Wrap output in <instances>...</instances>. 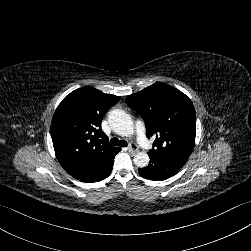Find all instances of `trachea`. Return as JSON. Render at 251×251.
Returning a JSON list of instances; mask_svg holds the SVG:
<instances>
[{
	"mask_svg": "<svg viewBox=\"0 0 251 251\" xmlns=\"http://www.w3.org/2000/svg\"><path fill=\"white\" fill-rule=\"evenodd\" d=\"M111 146H120V147H126L128 143L125 140H118L116 137L112 138L110 140Z\"/></svg>",
	"mask_w": 251,
	"mask_h": 251,
	"instance_id": "3493384b",
	"label": "trachea"
}]
</instances>
